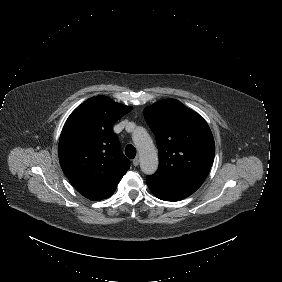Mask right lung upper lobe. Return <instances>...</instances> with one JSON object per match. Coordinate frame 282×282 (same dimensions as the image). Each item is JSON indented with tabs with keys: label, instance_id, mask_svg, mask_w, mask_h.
I'll return each instance as SVG.
<instances>
[{
	"label": "right lung upper lobe",
	"instance_id": "1",
	"mask_svg": "<svg viewBox=\"0 0 282 282\" xmlns=\"http://www.w3.org/2000/svg\"><path fill=\"white\" fill-rule=\"evenodd\" d=\"M131 110L100 95L77 107L63 127L59 140L61 168L71 184L90 200L110 197L130 167L112 126Z\"/></svg>",
	"mask_w": 282,
	"mask_h": 282
}]
</instances>
